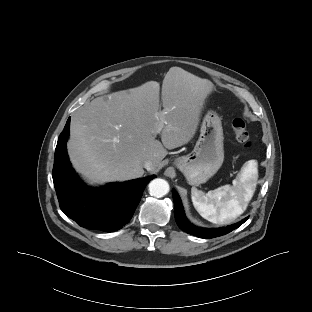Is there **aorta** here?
Masks as SVG:
<instances>
[{"instance_id":"762f6f07","label":"aorta","mask_w":312,"mask_h":312,"mask_svg":"<svg viewBox=\"0 0 312 312\" xmlns=\"http://www.w3.org/2000/svg\"><path fill=\"white\" fill-rule=\"evenodd\" d=\"M169 192V184L164 179H154L149 184V193L151 196L160 198Z\"/></svg>"}]
</instances>
